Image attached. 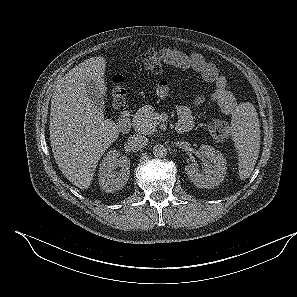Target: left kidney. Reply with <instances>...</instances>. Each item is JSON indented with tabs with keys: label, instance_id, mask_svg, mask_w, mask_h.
Wrapping results in <instances>:
<instances>
[{
	"label": "left kidney",
	"instance_id": "5707ae66",
	"mask_svg": "<svg viewBox=\"0 0 297 297\" xmlns=\"http://www.w3.org/2000/svg\"><path fill=\"white\" fill-rule=\"evenodd\" d=\"M200 153L208 160L205 172H201L198 166L193 163L185 167V172L198 188L217 187L223 182L226 175V159L220 151L210 145H201Z\"/></svg>",
	"mask_w": 297,
	"mask_h": 297
}]
</instances>
